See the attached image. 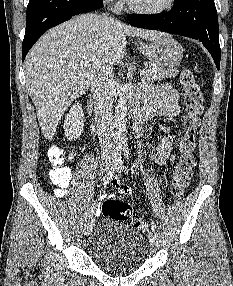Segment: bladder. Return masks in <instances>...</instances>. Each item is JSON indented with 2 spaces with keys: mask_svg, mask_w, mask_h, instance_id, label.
<instances>
[{
  "mask_svg": "<svg viewBox=\"0 0 233 286\" xmlns=\"http://www.w3.org/2000/svg\"><path fill=\"white\" fill-rule=\"evenodd\" d=\"M94 264L107 272H132L142 266L150 248L138 231L110 219L94 232L88 247Z\"/></svg>",
  "mask_w": 233,
  "mask_h": 286,
  "instance_id": "1",
  "label": "bladder"
}]
</instances>
